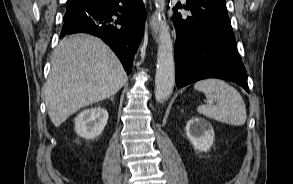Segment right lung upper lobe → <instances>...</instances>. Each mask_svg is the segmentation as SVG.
<instances>
[{
    "label": "right lung upper lobe",
    "instance_id": "cb5924a9",
    "mask_svg": "<svg viewBox=\"0 0 293 184\" xmlns=\"http://www.w3.org/2000/svg\"><path fill=\"white\" fill-rule=\"evenodd\" d=\"M84 1H86V0H68L67 9L76 7V6L80 5Z\"/></svg>",
    "mask_w": 293,
    "mask_h": 184
}]
</instances>
